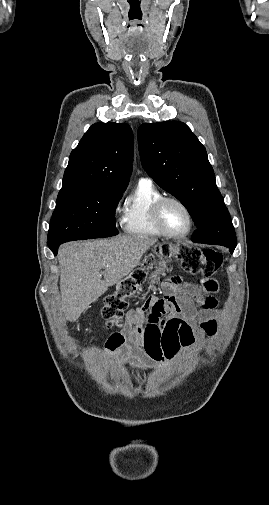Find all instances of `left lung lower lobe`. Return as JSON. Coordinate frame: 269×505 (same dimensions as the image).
Returning a JSON list of instances; mask_svg holds the SVG:
<instances>
[{"label":"left lung lower lobe","mask_w":269,"mask_h":505,"mask_svg":"<svg viewBox=\"0 0 269 505\" xmlns=\"http://www.w3.org/2000/svg\"><path fill=\"white\" fill-rule=\"evenodd\" d=\"M194 242V241H193ZM198 243V242H197ZM225 247H228L230 249V252L233 253L234 249L236 246H232V245H227Z\"/></svg>","instance_id":"left-lung-lower-lobe-1"}]
</instances>
